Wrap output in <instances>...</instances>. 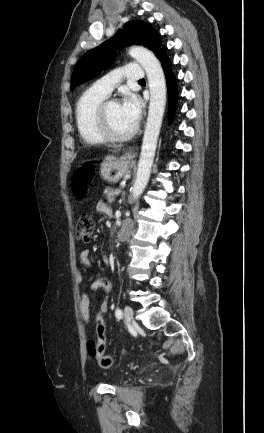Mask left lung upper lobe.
Returning a JSON list of instances; mask_svg holds the SVG:
<instances>
[{
	"instance_id": "1",
	"label": "left lung upper lobe",
	"mask_w": 264,
	"mask_h": 433,
	"mask_svg": "<svg viewBox=\"0 0 264 433\" xmlns=\"http://www.w3.org/2000/svg\"><path fill=\"white\" fill-rule=\"evenodd\" d=\"M132 44L148 47L158 59L166 54V48L161 44L160 35L149 23L140 20L129 21L111 39L88 51L80 58L74 67L71 89L98 75L109 66L113 62L116 49Z\"/></svg>"
}]
</instances>
